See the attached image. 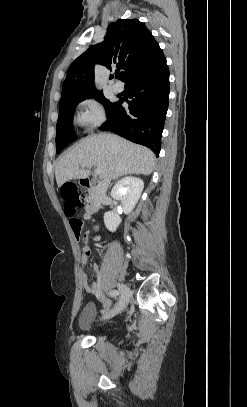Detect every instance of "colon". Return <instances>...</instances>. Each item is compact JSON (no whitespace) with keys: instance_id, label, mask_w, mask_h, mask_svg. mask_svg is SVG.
<instances>
[{"instance_id":"colon-1","label":"colon","mask_w":247,"mask_h":407,"mask_svg":"<svg viewBox=\"0 0 247 407\" xmlns=\"http://www.w3.org/2000/svg\"><path fill=\"white\" fill-rule=\"evenodd\" d=\"M61 196L64 200V212L67 216H74L77 209L81 208L85 201V195L79 192L73 183H67L61 188ZM72 230L77 238L87 241L89 235L83 232V223L78 219H71Z\"/></svg>"}]
</instances>
